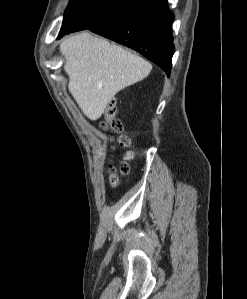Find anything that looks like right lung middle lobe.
Returning <instances> with one entry per match:
<instances>
[{
    "label": "right lung middle lobe",
    "mask_w": 247,
    "mask_h": 299,
    "mask_svg": "<svg viewBox=\"0 0 247 299\" xmlns=\"http://www.w3.org/2000/svg\"><path fill=\"white\" fill-rule=\"evenodd\" d=\"M135 0H70L59 37L90 29L125 11Z\"/></svg>",
    "instance_id": "obj_1"
}]
</instances>
